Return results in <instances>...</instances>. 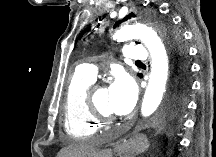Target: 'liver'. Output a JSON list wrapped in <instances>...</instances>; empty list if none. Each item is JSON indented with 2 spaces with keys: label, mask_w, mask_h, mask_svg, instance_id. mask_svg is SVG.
I'll list each match as a JSON object with an SVG mask.
<instances>
[{
  "label": "liver",
  "mask_w": 216,
  "mask_h": 157,
  "mask_svg": "<svg viewBox=\"0 0 216 157\" xmlns=\"http://www.w3.org/2000/svg\"><path fill=\"white\" fill-rule=\"evenodd\" d=\"M110 150L98 151L85 142L72 143L58 153V157H110Z\"/></svg>",
  "instance_id": "liver-1"
}]
</instances>
